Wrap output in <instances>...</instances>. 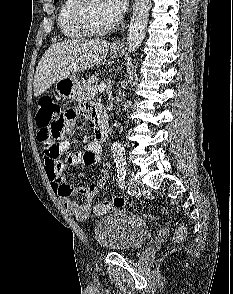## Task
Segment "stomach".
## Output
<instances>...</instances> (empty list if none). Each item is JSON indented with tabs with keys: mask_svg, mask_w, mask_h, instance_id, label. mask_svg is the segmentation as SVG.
Segmentation results:
<instances>
[{
	"mask_svg": "<svg viewBox=\"0 0 233 294\" xmlns=\"http://www.w3.org/2000/svg\"><path fill=\"white\" fill-rule=\"evenodd\" d=\"M114 56H119L121 50L113 49ZM55 89L58 95L64 99H73L77 97L81 89V81L76 75H69L56 81Z\"/></svg>",
	"mask_w": 233,
	"mask_h": 294,
	"instance_id": "0dacf381",
	"label": "stomach"
}]
</instances>
